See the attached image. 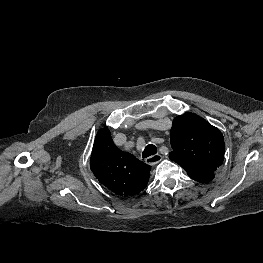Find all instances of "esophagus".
<instances>
[{
	"instance_id": "1",
	"label": "esophagus",
	"mask_w": 263,
	"mask_h": 263,
	"mask_svg": "<svg viewBox=\"0 0 263 263\" xmlns=\"http://www.w3.org/2000/svg\"><path fill=\"white\" fill-rule=\"evenodd\" d=\"M162 160V156L160 154H154L152 156H149L148 158H146L145 162L148 165L154 166L156 165L158 162H160Z\"/></svg>"
}]
</instances>
